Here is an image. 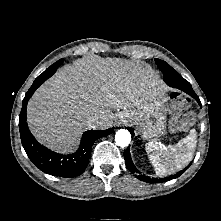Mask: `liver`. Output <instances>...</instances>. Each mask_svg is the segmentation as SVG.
<instances>
[{"label": "liver", "mask_w": 221, "mask_h": 221, "mask_svg": "<svg viewBox=\"0 0 221 221\" xmlns=\"http://www.w3.org/2000/svg\"><path fill=\"white\" fill-rule=\"evenodd\" d=\"M162 81L149 68L122 59L90 56L65 65L32 96L27 120L33 135L47 147L70 152L81 133L93 126H112V110L143 106L165 94Z\"/></svg>", "instance_id": "liver-1"}]
</instances>
